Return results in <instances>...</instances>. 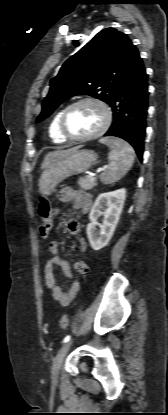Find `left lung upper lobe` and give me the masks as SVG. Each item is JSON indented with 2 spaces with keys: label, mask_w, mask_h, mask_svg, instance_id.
Here are the masks:
<instances>
[{
  "label": "left lung upper lobe",
  "mask_w": 168,
  "mask_h": 415,
  "mask_svg": "<svg viewBox=\"0 0 168 415\" xmlns=\"http://www.w3.org/2000/svg\"><path fill=\"white\" fill-rule=\"evenodd\" d=\"M139 57L126 34L114 28L100 31L51 80L36 121L49 117L61 103L76 95H89L110 104Z\"/></svg>",
  "instance_id": "left-lung-upper-lobe-1"
}]
</instances>
